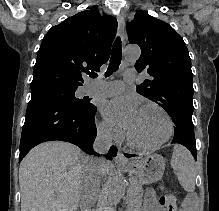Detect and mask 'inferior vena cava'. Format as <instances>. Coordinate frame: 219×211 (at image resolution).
<instances>
[{
    "instance_id": "1",
    "label": "inferior vena cava",
    "mask_w": 219,
    "mask_h": 211,
    "mask_svg": "<svg viewBox=\"0 0 219 211\" xmlns=\"http://www.w3.org/2000/svg\"><path fill=\"white\" fill-rule=\"evenodd\" d=\"M112 141V135L103 131V133H99L97 135L94 143L93 149L97 151V153H106L108 151ZM92 166H90V174L87 175L86 183H81V188H78V193L81 197V206L85 207V209H89V207H94V197L97 193V188L100 187L98 175H103V166L108 165V161L105 159H99V157H92Z\"/></svg>"
}]
</instances>
